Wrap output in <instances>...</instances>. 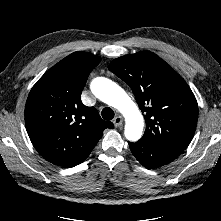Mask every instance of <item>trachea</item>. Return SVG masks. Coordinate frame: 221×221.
Here are the masks:
<instances>
[{"label": "trachea", "instance_id": "trachea-1", "mask_svg": "<svg viewBox=\"0 0 221 221\" xmlns=\"http://www.w3.org/2000/svg\"><path fill=\"white\" fill-rule=\"evenodd\" d=\"M101 115L105 120H112L114 118V111L111 108L106 107L102 110Z\"/></svg>", "mask_w": 221, "mask_h": 221}]
</instances>
